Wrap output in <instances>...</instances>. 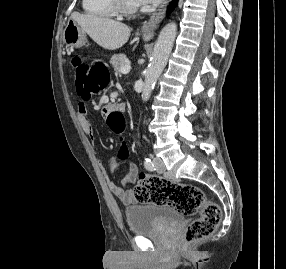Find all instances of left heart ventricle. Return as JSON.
<instances>
[{"label":"left heart ventricle","instance_id":"1","mask_svg":"<svg viewBox=\"0 0 286 269\" xmlns=\"http://www.w3.org/2000/svg\"><path fill=\"white\" fill-rule=\"evenodd\" d=\"M128 5H138L136 0H125Z\"/></svg>","mask_w":286,"mask_h":269}]
</instances>
